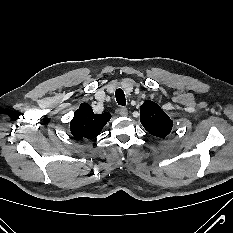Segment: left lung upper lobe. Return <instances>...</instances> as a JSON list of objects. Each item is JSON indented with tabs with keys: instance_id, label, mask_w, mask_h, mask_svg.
I'll return each instance as SVG.
<instances>
[{
	"instance_id": "left-lung-upper-lobe-1",
	"label": "left lung upper lobe",
	"mask_w": 233,
	"mask_h": 233,
	"mask_svg": "<svg viewBox=\"0 0 233 233\" xmlns=\"http://www.w3.org/2000/svg\"><path fill=\"white\" fill-rule=\"evenodd\" d=\"M140 121L143 127L153 136L166 137L173 127V121L161 107L147 100L140 107Z\"/></svg>"
}]
</instances>
